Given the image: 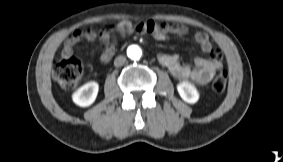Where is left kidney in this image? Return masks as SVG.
I'll list each match as a JSON object with an SVG mask.
<instances>
[{
    "label": "left kidney",
    "instance_id": "obj_1",
    "mask_svg": "<svg viewBox=\"0 0 283 162\" xmlns=\"http://www.w3.org/2000/svg\"><path fill=\"white\" fill-rule=\"evenodd\" d=\"M180 97L189 104H194L199 100V93L194 85L189 82H181L177 85Z\"/></svg>",
    "mask_w": 283,
    "mask_h": 162
}]
</instances>
